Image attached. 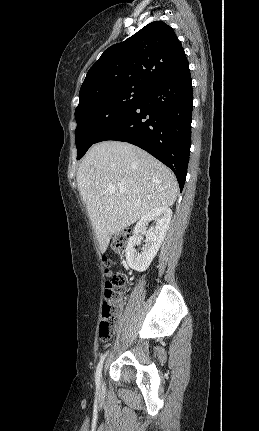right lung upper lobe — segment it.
<instances>
[{
  "instance_id": "right-lung-upper-lobe-1",
  "label": "right lung upper lobe",
  "mask_w": 259,
  "mask_h": 431,
  "mask_svg": "<svg viewBox=\"0 0 259 431\" xmlns=\"http://www.w3.org/2000/svg\"><path fill=\"white\" fill-rule=\"evenodd\" d=\"M188 66L174 30L162 21L152 22L104 51L86 75L79 103L95 94L122 87L147 90Z\"/></svg>"
}]
</instances>
